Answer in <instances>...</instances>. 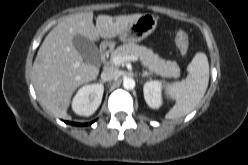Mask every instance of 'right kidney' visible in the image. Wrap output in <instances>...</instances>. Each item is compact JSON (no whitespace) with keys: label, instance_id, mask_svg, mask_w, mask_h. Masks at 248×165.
Masks as SVG:
<instances>
[{"label":"right kidney","instance_id":"right-kidney-1","mask_svg":"<svg viewBox=\"0 0 248 165\" xmlns=\"http://www.w3.org/2000/svg\"><path fill=\"white\" fill-rule=\"evenodd\" d=\"M103 92L104 86L99 83L80 88L72 101L74 112L81 116H91L100 106Z\"/></svg>","mask_w":248,"mask_h":165}]
</instances>
